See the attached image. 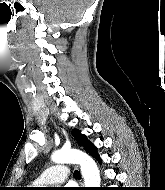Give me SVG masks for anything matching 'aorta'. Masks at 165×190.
Masks as SVG:
<instances>
[{
	"instance_id": "obj_1",
	"label": "aorta",
	"mask_w": 165,
	"mask_h": 190,
	"mask_svg": "<svg viewBox=\"0 0 165 190\" xmlns=\"http://www.w3.org/2000/svg\"><path fill=\"white\" fill-rule=\"evenodd\" d=\"M51 159L55 163H77L81 166L85 187H100V173L95 161L79 150L61 149L55 151Z\"/></svg>"
}]
</instances>
